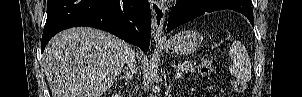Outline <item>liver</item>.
Wrapping results in <instances>:
<instances>
[{
    "label": "liver",
    "instance_id": "obj_1",
    "mask_svg": "<svg viewBox=\"0 0 302 97\" xmlns=\"http://www.w3.org/2000/svg\"><path fill=\"white\" fill-rule=\"evenodd\" d=\"M128 47L114 35L93 28L58 33L42 58L52 97H100L120 75Z\"/></svg>",
    "mask_w": 302,
    "mask_h": 97
}]
</instances>
